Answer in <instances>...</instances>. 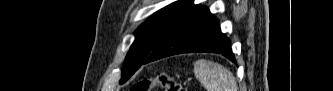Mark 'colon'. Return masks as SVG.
<instances>
[{"label":"colon","mask_w":333,"mask_h":91,"mask_svg":"<svg viewBox=\"0 0 333 91\" xmlns=\"http://www.w3.org/2000/svg\"><path fill=\"white\" fill-rule=\"evenodd\" d=\"M155 87H159L162 91H186L181 84L166 73H159L152 78L136 82L131 87V91H151Z\"/></svg>","instance_id":"obj_1"}]
</instances>
